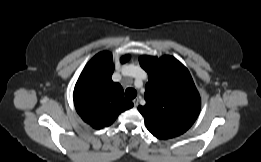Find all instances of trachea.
Listing matches in <instances>:
<instances>
[{"instance_id":"1","label":"trachea","mask_w":261,"mask_h":162,"mask_svg":"<svg viewBox=\"0 0 261 162\" xmlns=\"http://www.w3.org/2000/svg\"><path fill=\"white\" fill-rule=\"evenodd\" d=\"M137 92L133 88H127L125 91V97L129 100H132L136 97Z\"/></svg>"}]
</instances>
